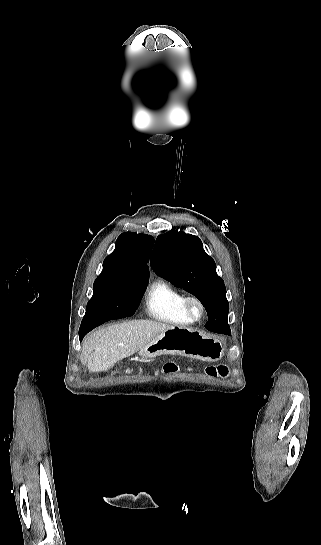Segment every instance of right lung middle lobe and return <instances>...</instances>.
<instances>
[{
	"label": "right lung middle lobe",
	"instance_id": "1",
	"mask_svg": "<svg viewBox=\"0 0 321 545\" xmlns=\"http://www.w3.org/2000/svg\"><path fill=\"white\" fill-rule=\"evenodd\" d=\"M147 285L119 286L110 283L108 278L99 276L93 285V296L88 302L83 323L95 321L98 318L99 308L103 307L110 300L120 295H134L142 297Z\"/></svg>",
	"mask_w": 321,
	"mask_h": 545
}]
</instances>
